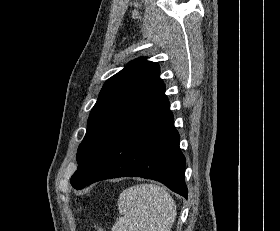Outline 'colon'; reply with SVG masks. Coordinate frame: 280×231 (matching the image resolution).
I'll list each match as a JSON object with an SVG mask.
<instances>
[{"label":"colon","mask_w":280,"mask_h":231,"mask_svg":"<svg viewBox=\"0 0 280 231\" xmlns=\"http://www.w3.org/2000/svg\"><path fill=\"white\" fill-rule=\"evenodd\" d=\"M95 231H106V229L104 228V226L98 225L95 227Z\"/></svg>","instance_id":"1"}]
</instances>
